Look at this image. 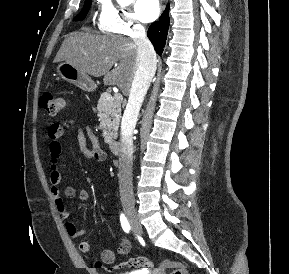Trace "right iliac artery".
<instances>
[{"mask_svg":"<svg viewBox=\"0 0 289 274\" xmlns=\"http://www.w3.org/2000/svg\"><path fill=\"white\" fill-rule=\"evenodd\" d=\"M120 222H121V226H122L123 230L126 233H129L131 227H130V224H129L127 218L125 217V215L123 213L120 215Z\"/></svg>","mask_w":289,"mask_h":274,"instance_id":"1","label":"right iliac artery"}]
</instances>
